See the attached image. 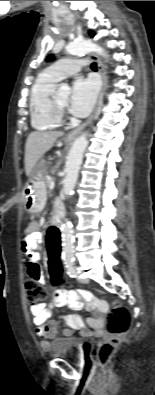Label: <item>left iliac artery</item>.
<instances>
[{"label":"left iliac artery","instance_id":"44dca946","mask_svg":"<svg viewBox=\"0 0 155 395\" xmlns=\"http://www.w3.org/2000/svg\"><path fill=\"white\" fill-rule=\"evenodd\" d=\"M74 262H75L74 258H67V259H65V262H64L66 270H67V274L71 278L76 277V270H75Z\"/></svg>","mask_w":155,"mask_h":395}]
</instances>
